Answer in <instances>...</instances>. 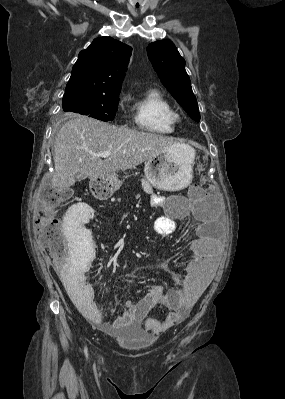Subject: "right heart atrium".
<instances>
[{
	"instance_id": "right-heart-atrium-1",
	"label": "right heart atrium",
	"mask_w": 285,
	"mask_h": 399,
	"mask_svg": "<svg viewBox=\"0 0 285 399\" xmlns=\"http://www.w3.org/2000/svg\"><path fill=\"white\" fill-rule=\"evenodd\" d=\"M128 99H129L128 95H123L119 101L120 107L124 108L125 104L128 102Z\"/></svg>"
}]
</instances>
